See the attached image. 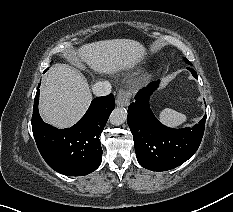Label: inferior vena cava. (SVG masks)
Listing matches in <instances>:
<instances>
[{"instance_id": "inferior-vena-cava-1", "label": "inferior vena cava", "mask_w": 233, "mask_h": 212, "mask_svg": "<svg viewBox=\"0 0 233 212\" xmlns=\"http://www.w3.org/2000/svg\"><path fill=\"white\" fill-rule=\"evenodd\" d=\"M92 91L96 96H106L111 93L112 86L108 81H99L93 85Z\"/></svg>"}]
</instances>
